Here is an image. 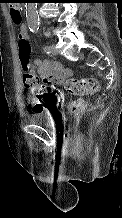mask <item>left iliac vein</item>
<instances>
[{
    "label": "left iliac vein",
    "instance_id": "obj_1",
    "mask_svg": "<svg viewBox=\"0 0 122 218\" xmlns=\"http://www.w3.org/2000/svg\"><path fill=\"white\" fill-rule=\"evenodd\" d=\"M50 47H51V53H52L53 55H57V54H58V52H57V50H56V47H55V45H54V44H52Z\"/></svg>",
    "mask_w": 122,
    "mask_h": 218
}]
</instances>
